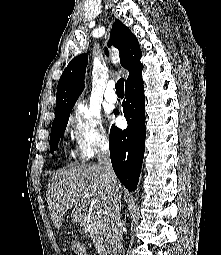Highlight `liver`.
<instances>
[{
    "label": "liver",
    "instance_id": "liver-1",
    "mask_svg": "<svg viewBox=\"0 0 221 255\" xmlns=\"http://www.w3.org/2000/svg\"><path fill=\"white\" fill-rule=\"evenodd\" d=\"M97 164H79L53 173L47 187L46 198L54 226L59 229L67 210H86L95 199L105 210L111 199V189Z\"/></svg>",
    "mask_w": 221,
    "mask_h": 255
}]
</instances>
